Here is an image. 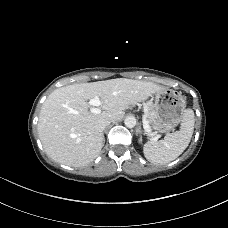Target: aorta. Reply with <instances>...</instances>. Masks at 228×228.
I'll return each instance as SVG.
<instances>
[{
  "instance_id": "aorta-1",
  "label": "aorta",
  "mask_w": 228,
  "mask_h": 228,
  "mask_svg": "<svg viewBox=\"0 0 228 228\" xmlns=\"http://www.w3.org/2000/svg\"><path fill=\"white\" fill-rule=\"evenodd\" d=\"M124 124L128 128H133L136 125V118L133 116H128L125 118Z\"/></svg>"
}]
</instances>
